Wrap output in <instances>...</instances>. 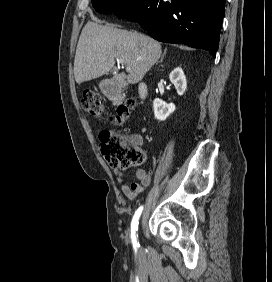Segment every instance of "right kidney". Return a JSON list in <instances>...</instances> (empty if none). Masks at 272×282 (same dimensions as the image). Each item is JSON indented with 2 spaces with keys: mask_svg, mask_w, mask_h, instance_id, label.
I'll use <instances>...</instances> for the list:
<instances>
[{
  "mask_svg": "<svg viewBox=\"0 0 272 282\" xmlns=\"http://www.w3.org/2000/svg\"><path fill=\"white\" fill-rule=\"evenodd\" d=\"M169 79L175 86L178 95H183L187 88V81L182 68H175L169 74ZM153 109L155 118L164 121L175 111V105L173 103L167 104L163 100L156 98L153 101Z\"/></svg>",
  "mask_w": 272,
  "mask_h": 282,
  "instance_id": "right-kidney-1",
  "label": "right kidney"
}]
</instances>
